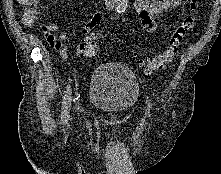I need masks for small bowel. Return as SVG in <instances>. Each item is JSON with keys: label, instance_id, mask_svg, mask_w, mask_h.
<instances>
[{"label": "small bowel", "instance_id": "1", "mask_svg": "<svg viewBox=\"0 0 221 174\" xmlns=\"http://www.w3.org/2000/svg\"><path fill=\"white\" fill-rule=\"evenodd\" d=\"M181 2L182 0H134L133 10L138 16L142 28L147 33H154L157 30V23L155 21L156 17L168 10L176 8ZM37 15L40 16L39 11L37 12ZM103 18V11L97 9L85 24L84 33H89L101 23ZM41 26L47 42L59 52L63 60L69 62L82 55L79 48L77 49L75 56H71L68 53L67 47L64 44V40L67 38L68 33L66 30H62L58 24L41 19ZM55 32H57V34H55Z\"/></svg>", "mask_w": 221, "mask_h": 174}]
</instances>
